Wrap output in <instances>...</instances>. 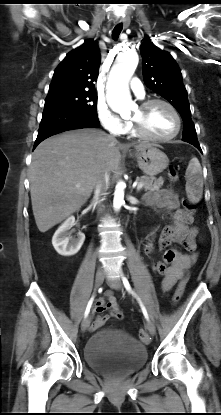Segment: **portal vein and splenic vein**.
Instances as JSON below:
<instances>
[{"label":"portal vein and splenic vein","instance_id":"18ae733b","mask_svg":"<svg viewBox=\"0 0 221 415\" xmlns=\"http://www.w3.org/2000/svg\"><path fill=\"white\" fill-rule=\"evenodd\" d=\"M77 187H78V185H77ZM142 187H143V183L142 182H140V183L137 184V190H140Z\"/></svg>","mask_w":221,"mask_h":415}]
</instances>
